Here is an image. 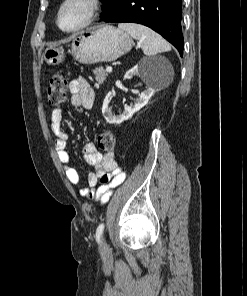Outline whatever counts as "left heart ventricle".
Listing matches in <instances>:
<instances>
[{"mask_svg":"<svg viewBox=\"0 0 247 296\" xmlns=\"http://www.w3.org/2000/svg\"><path fill=\"white\" fill-rule=\"evenodd\" d=\"M87 7L80 2L69 4L63 11L61 16V25L64 28H73L78 26L85 18Z\"/></svg>","mask_w":247,"mask_h":296,"instance_id":"obj_1","label":"left heart ventricle"}]
</instances>
